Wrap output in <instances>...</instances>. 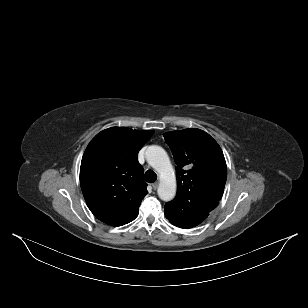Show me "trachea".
I'll return each mask as SVG.
<instances>
[{"mask_svg": "<svg viewBox=\"0 0 308 308\" xmlns=\"http://www.w3.org/2000/svg\"><path fill=\"white\" fill-rule=\"evenodd\" d=\"M157 179V175L156 173L153 171V170H147L146 173H145V180L148 182V183H153L155 182Z\"/></svg>", "mask_w": 308, "mask_h": 308, "instance_id": "trachea-1", "label": "trachea"}]
</instances>
